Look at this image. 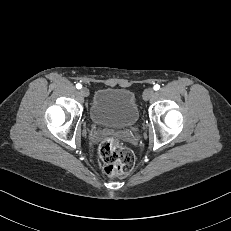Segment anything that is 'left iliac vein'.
Segmentation results:
<instances>
[{"mask_svg": "<svg viewBox=\"0 0 231 231\" xmlns=\"http://www.w3.org/2000/svg\"><path fill=\"white\" fill-rule=\"evenodd\" d=\"M154 94H155V92L152 88H147L143 92V99L145 101H148L150 98H152L154 96Z\"/></svg>", "mask_w": 231, "mask_h": 231, "instance_id": "left-iliac-vein-1", "label": "left iliac vein"}]
</instances>
